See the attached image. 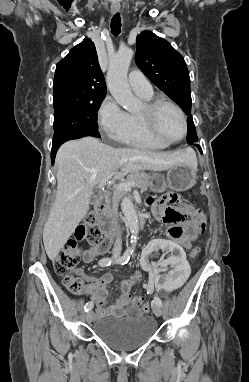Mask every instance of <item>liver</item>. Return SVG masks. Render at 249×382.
I'll return each instance as SVG.
<instances>
[{"label": "liver", "instance_id": "liver-1", "mask_svg": "<svg viewBox=\"0 0 249 382\" xmlns=\"http://www.w3.org/2000/svg\"><path fill=\"white\" fill-rule=\"evenodd\" d=\"M182 163L197 166L196 156L190 149L152 152L114 148L90 136L64 143L56 155V200L43 230L49 259L55 260L87 214L96 185L113 176L123 178L140 170L163 171Z\"/></svg>", "mask_w": 249, "mask_h": 382}]
</instances>
